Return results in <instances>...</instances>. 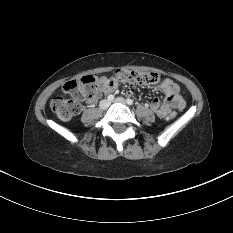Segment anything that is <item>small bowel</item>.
I'll return each mask as SVG.
<instances>
[{
    "instance_id": "1",
    "label": "small bowel",
    "mask_w": 233,
    "mask_h": 233,
    "mask_svg": "<svg viewBox=\"0 0 233 233\" xmlns=\"http://www.w3.org/2000/svg\"><path fill=\"white\" fill-rule=\"evenodd\" d=\"M99 89L90 98L88 103L93 104L101 94L112 93L118 87V81L114 78L101 77L99 79ZM161 90L165 96L164 101L154 99L151 103V109L159 117H166L172 113L173 109L182 110L185 106V102L179 94V86L170 79H166L161 86ZM128 95L132 94V90L127 91Z\"/></svg>"
}]
</instances>
